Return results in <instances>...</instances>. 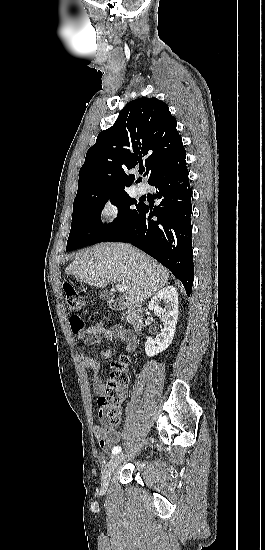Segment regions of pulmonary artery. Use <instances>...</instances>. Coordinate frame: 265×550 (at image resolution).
I'll list each match as a JSON object with an SVG mask.
<instances>
[{"mask_svg":"<svg viewBox=\"0 0 265 550\" xmlns=\"http://www.w3.org/2000/svg\"><path fill=\"white\" fill-rule=\"evenodd\" d=\"M136 191L138 194L142 195V194H145L146 191H147V187L144 183H139L137 186H136Z\"/></svg>","mask_w":265,"mask_h":550,"instance_id":"e3ab8cb5","label":"pulmonary artery"}]
</instances>
